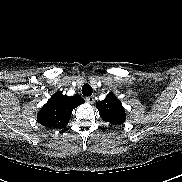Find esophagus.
<instances>
[{"label": "esophagus", "mask_w": 182, "mask_h": 182, "mask_svg": "<svg viewBox=\"0 0 182 182\" xmlns=\"http://www.w3.org/2000/svg\"><path fill=\"white\" fill-rule=\"evenodd\" d=\"M86 101H87L89 104H93L94 101H95V98H94V96H88V97H86Z\"/></svg>", "instance_id": "esophagus-1"}]
</instances>
